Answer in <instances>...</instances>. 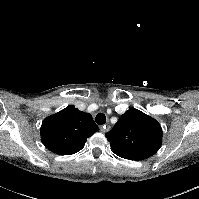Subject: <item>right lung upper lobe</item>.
<instances>
[{
	"mask_svg": "<svg viewBox=\"0 0 199 199\" xmlns=\"http://www.w3.org/2000/svg\"><path fill=\"white\" fill-rule=\"evenodd\" d=\"M99 131L91 114L68 106L44 119L41 140L52 152L70 155L80 151L88 137Z\"/></svg>",
	"mask_w": 199,
	"mask_h": 199,
	"instance_id": "right-lung-upper-lobe-1",
	"label": "right lung upper lobe"
}]
</instances>
